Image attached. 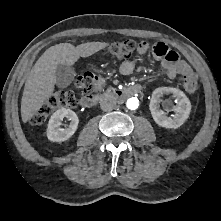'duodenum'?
<instances>
[{
	"instance_id": "duodenum-1",
	"label": "duodenum",
	"mask_w": 221,
	"mask_h": 221,
	"mask_svg": "<svg viewBox=\"0 0 221 221\" xmlns=\"http://www.w3.org/2000/svg\"><path fill=\"white\" fill-rule=\"evenodd\" d=\"M140 91L141 87L139 85H132L125 89H110L104 93L86 95L82 98L81 103L85 107H91L104 96H110L118 101H122L130 96L138 94Z\"/></svg>"
}]
</instances>
